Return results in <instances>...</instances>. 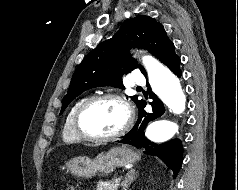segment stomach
Instances as JSON below:
<instances>
[{"instance_id": "0dacf381", "label": "stomach", "mask_w": 238, "mask_h": 190, "mask_svg": "<svg viewBox=\"0 0 238 190\" xmlns=\"http://www.w3.org/2000/svg\"><path fill=\"white\" fill-rule=\"evenodd\" d=\"M140 155L132 149L122 146L114 147L106 153H100L94 159L75 157L67 163L68 170L75 176L92 178L96 174L108 175L117 167L135 163Z\"/></svg>"}]
</instances>
